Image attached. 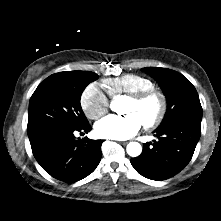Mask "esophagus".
<instances>
[{"label": "esophagus", "instance_id": "34e87169", "mask_svg": "<svg viewBox=\"0 0 221 221\" xmlns=\"http://www.w3.org/2000/svg\"><path fill=\"white\" fill-rule=\"evenodd\" d=\"M122 145H126L128 142H126V141H121L120 142Z\"/></svg>", "mask_w": 221, "mask_h": 221}]
</instances>
